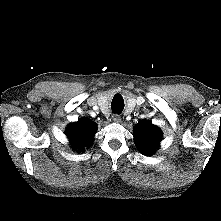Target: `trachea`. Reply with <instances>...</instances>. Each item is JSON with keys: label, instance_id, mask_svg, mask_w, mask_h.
<instances>
[{"label": "trachea", "instance_id": "trachea-1", "mask_svg": "<svg viewBox=\"0 0 221 221\" xmlns=\"http://www.w3.org/2000/svg\"><path fill=\"white\" fill-rule=\"evenodd\" d=\"M111 107L114 113H120L124 109V101L115 97L111 102Z\"/></svg>", "mask_w": 221, "mask_h": 221}]
</instances>
